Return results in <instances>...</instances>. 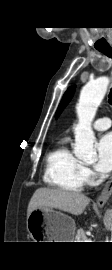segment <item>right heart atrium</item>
Here are the masks:
<instances>
[{
    "instance_id": "d8ad5b80",
    "label": "right heart atrium",
    "mask_w": 112,
    "mask_h": 270,
    "mask_svg": "<svg viewBox=\"0 0 112 270\" xmlns=\"http://www.w3.org/2000/svg\"><path fill=\"white\" fill-rule=\"evenodd\" d=\"M83 174L86 182H91L94 178V173L86 166H83Z\"/></svg>"
}]
</instances>
